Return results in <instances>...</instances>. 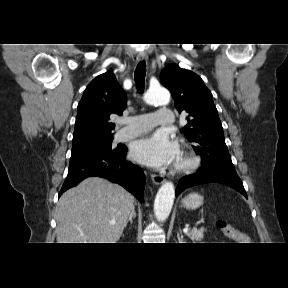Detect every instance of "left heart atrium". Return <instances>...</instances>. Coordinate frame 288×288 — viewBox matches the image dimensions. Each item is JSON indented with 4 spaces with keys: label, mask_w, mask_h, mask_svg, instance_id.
<instances>
[{
    "label": "left heart atrium",
    "mask_w": 288,
    "mask_h": 288,
    "mask_svg": "<svg viewBox=\"0 0 288 288\" xmlns=\"http://www.w3.org/2000/svg\"><path fill=\"white\" fill-rule=\"evenodd\" d=\"M179 155L176 141L165 131H156L135 141L132 158L144 165L161 168L175 162Z\"/></svg>",
    "instance_id": "1"
}]
</instances>
